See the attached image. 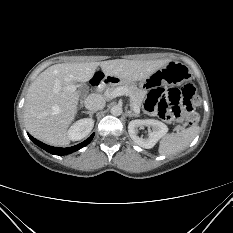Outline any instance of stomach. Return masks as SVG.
<instances>
[{"label": "stomach", "instance_id": "stomach-1", "mask_svg": "<svg viewBox=\"0 0 233 233\" xmlns=\"http://www.w3.org/2000/svg\"><path fill=\"white\" fill-rule=\"evenodd\" d=\"M190 77L191 73L187 66L176 61H170L147 79H142L141 85L144 86V89L163 86L164 84L180 85L188 81ZM120 83L133 85L132 82L121 81Z\"/></svg>", "mask_w": 233, "mask_h": 233}]
</instances>
